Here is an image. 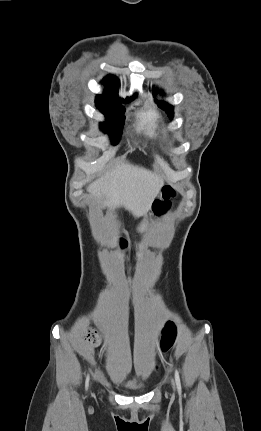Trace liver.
<instances>
[{
    "label": "liver",
    "instance_id": "liver-1",
    "mask_svg": "<svg viewBox=\"0 0 261 431\" xmlns=\"http://www.w3.org/2000/svg\"><path fill=\"white\" fill-rule=\"evenodd\" d=\"M162 183L155 173L124 161L93 182L88 191L101 208L124 207L140 217L150 208Z\"/></svg>",
    "mask_w": 261,
    "mask_h": 431
}]
</instances>
